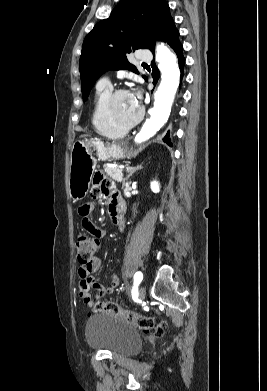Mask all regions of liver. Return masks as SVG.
Here are the masks:
<instances>
[{
  "label": "liver",
  "mask_w": 267,
  "mask_h": 391,
  "mask_svg": "<svg viewBox=\"0 0 267 391\" xmlns=\"http://www.w3.org/2000/svg\"><path fill=\"white\" fill-rule=\"evenodd\" d=\"M87 135H82L81 137H86Z\"/></svg>",
  "instance_id": "6515ba94"
}]
</instances>
